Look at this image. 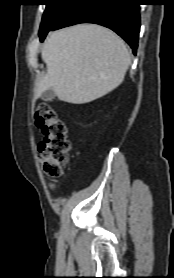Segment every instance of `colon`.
Masks as SVG:
<instances>
[{
	"instance_id": "obj_1",
	"label": "colon",
	"mask_w": 174,
	"mask_h": 278,
	"mask_svg": "<svg viewBox=\"0 0 174 278\" xmlns=\"http://www.w3.org/2000/svg\"><path fill=\"white\" fill-rule=\"evenodd\" d=\"M34 123L44 134V139L39 145V156L43 170L48 177L58 178L68 161L70 150L65 123L57 116L55 110L46 103L37 106Z\"/></svg>"
}]
</instances>
